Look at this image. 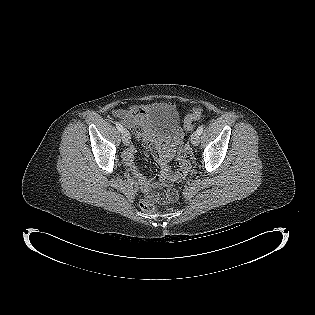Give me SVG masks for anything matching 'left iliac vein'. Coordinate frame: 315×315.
Wrapping results in <instances>:
<instances>
[{"instance_id":"4c4485c4","label":"left iliac vein","mask_w":315,"mask_h":315,"mask_svg":"<svg viewBox=\"0 0 315 315\" xmlns=\"http://www.w3.org/2000/svg\"><path fill=\"white\" fill-rule=\"evenodd\" d=\"M200 142V137L199 135L197 134V132H194L192 135H191V143L194 145V146H197Z\"/></svg>"}]
</instances>
